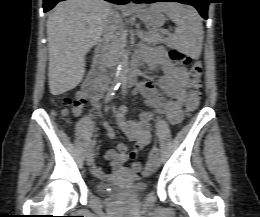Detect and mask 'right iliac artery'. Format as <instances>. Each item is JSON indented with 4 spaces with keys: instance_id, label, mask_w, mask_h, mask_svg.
<instances>
[{
    "instance_id": "82829eb1",
    "label": "right iliac artery",
    "mask_w": 260,
    "mask_h": 217,
    "mask_svg": "<svg viewBox=\"0 0 260 217\" xmlns=\"http://www.w3.org/2000/svg\"><path fill=\"white\" fill-rule=\"evenodd\" d=\"M121 83L117 82L115 83L112 88L110 89L107 97H106V102H109L113 96L115 95L116 91L118 90V88L120 87ZM95 145V140H92L88 146V152L92 151Z\"/></svg>"
}]
</instances>
